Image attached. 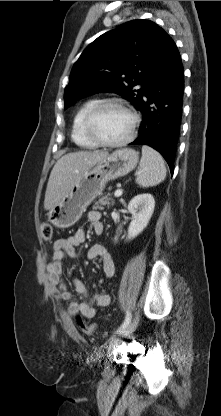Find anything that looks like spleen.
Returning a JSON list of instances; mask_svg holds the SVG:
<instances>
[{"label": "spleen", "mask_w": 221, "mask_h": 416, "mask_svg": "<svg viewBox=\"0 0 221 416\" xmlns=\"http://www.w3.org/2000/svg\"><path fill=\"white\" fill-rule=\"evenodd\" d=\"M140 172L136 183L141 187H151L161 183L166 177V167L159 152L149 146H142Z\"/></svg>", "instance_id": "obj_1"}]
</instances>
